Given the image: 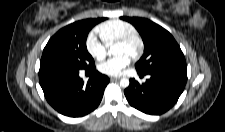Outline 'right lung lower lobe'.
<instances>
[{
	"instance_id": "1",
	"label": "right lung lower lobe",
	"mask_w": 225,
	"mask_h": 132,
	"mask_svg": "<svg viewBox=\"0 0 225 132\" xmlns=\"http://www.w3.org/2000/svg\"><path fill=\"white\" fill-rule=\"evenodd\" d=\"M87 83L79 77V70L63 67H40L39 80L48 103L59 113L69 117L84 116L98 107L109 83L106 75L95 71Z\"/></svg>"
}]
</instances>
